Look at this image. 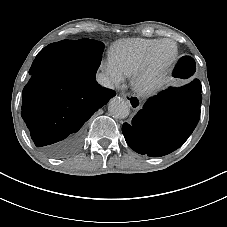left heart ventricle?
<instances>
[{
    "label": "left heart ventricle",
    "mask_w": 227,
    "mask_h": 227,
    "mask_svg": "<svg viewBox=\"0 0 227 227\" xmlns=\"http://www.w3.org/2000/svg\"><path fill=\"white\" fill-rule=\"evenodd\" d=\"M175 47L171 43H164L160 46L155 56V60L150 70L144 75V81H150L156 78L171 57L174 55Z\"/></svg>",
    "instance_id": "1"
}]
</instances>
